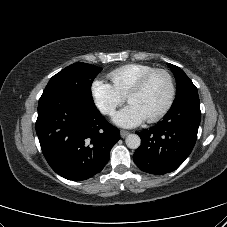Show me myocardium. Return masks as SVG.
Here are the masks:
<instances>
[{
	"label": "myocardium",
	"mask_w": 227,
	"mask_h": 227,
	"mask_svg": "<svg viewBox=\"0 0 227 227\" xmlns=\"http://www.w3.org/2000/svg\"><path fill=\"white\" fill-rule=\"evenodd\" d=\"M164 74L168 80L169 83V97L168 100L166 102V104L164 105V107L157 112L156 114H154L153 116L149 117L146 119V121L148 123H154L157 122L158 120H160L161 118H163L168 112L169 110L172 108L175 98H176V84H175V79L173 77V75L171 74V72L165 68H154L151 71L145 73L144 75H142L129 89L128 93L126 94V99L128 101L129 97L134 94L139 92L140 90H142L144 88V86L147 84V82L150 80V78L152 76H154L155 74Z\"/></svg>",
	"instance_id": "f54148a6"
}]
</instances>
